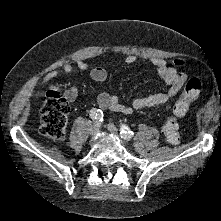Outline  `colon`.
<instances>
[{
    "label": "colon",
    "instance_id": "5ec220e1",
    "mask_svg": "<svg viewBox=\"0 0 221 221\" xmlns=\"http://www.w3.org/2000/svg\"><path fill=\"white\" fill-rule=\"evenodd\" d=\"M175 65L182 66V61H175ZM202 90V81L191 78L185 85L182 97L175 103L172 115L162 127L166 141L172 145L180 140L179 119L186 113L189 104L196 99ZM69 114L68 102L59 87L48 91L40 111V133L53 141L64 137Z\"/></svg>",
    "mask_w": 221,
    "mask_h": 221
}]
</instances>
